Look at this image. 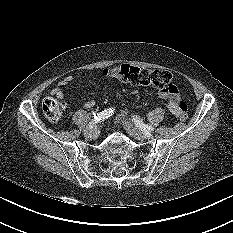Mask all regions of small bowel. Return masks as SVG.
Listing matches in <instances>:
<instances>
[{
    "label": "small bowel",
    "instance_id": "c3829d8e",
    "mask_svg": "<svg viewBox=\"0 0 233 233\" xmlns=\"http://www.w3.org/2000/svg\"><path fill=\"white\" fill-rule=\"evenodd\" d=\"M72 80H73V77L70 75L64 77L62 80L59 81L58 86L54 87L51 90V94L57 97L58 99H63L64 93H63L62 87L69 84ZM158 96L162 99H166L168 101L167 102L168 109L171 111L172 114L179 117V102L181 100H180L178 91L176 90L174 92H171V91L160 90L158 91ZM91 106H93V102H87L85 104V107H91ZM125 116H126V111H122L116 121L119 122Z\"/></svg>",
    "mask_w": 233,
    "mask_h": 233
}]
</instances>
